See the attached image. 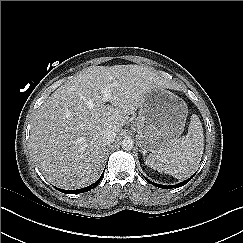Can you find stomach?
<instances>
[{
  "mask_svg": "<svg viewBox=\"0 0 243 243\" xmlns=\"http://www.w3.org/2000/svg\"><path fill=\"white\" fill-rule=\"evenodd\" d=\"M187 114L186 103L177 95L163 88L152 90L136 121L141 150L157 153L171 146L184 131Z\"/></svg>",
  "mask_w": 243,
  "mask_h": 243,
  "instance_id": "stomach-1",
  "label": "stomach"
}]
</instances>
